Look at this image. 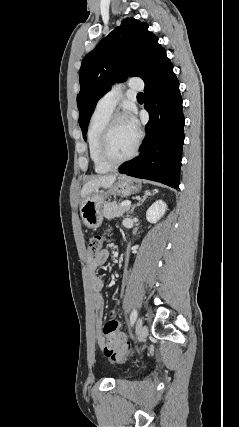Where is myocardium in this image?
I'll return each mask as SVG.
<instances>
[{
	"mask_svg": "<svg viewBox=\"0 0 239 427\" xmlns=\"http://www.w3.org/2000/svg\"><path fill=\"white\" fill-rule=\"evenodd\" d=\"M120 120H125V118L122 114H119V113L112 114L109 117V119L107 120V122H106V124L102 130L101 136H100L99 157L103 163H105L106 165H108L110 167H116V166L122 165V164L130 161L131 159H133L138 153V149H139L140 142H141L140 134L137 133L134 147L128 155H126L125 157L120 158V159H115V158L111 157V155L109 154L110 137H111V133H112V130H113L115 123L117 121H120Z\"/></svg>",
	"mask_w": 239,
	"mask_h": 427,
	"instance_id": "f54148a6",
	"label": "myocardium"
}]
</instances>
